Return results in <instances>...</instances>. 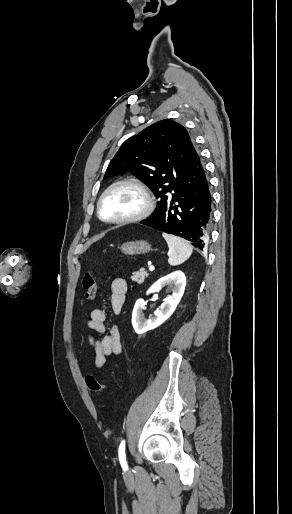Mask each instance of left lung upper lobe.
Instances as JSON below:
<instances>
[{
	"label": "left lung upper lobe",
	"instance_id": "5c2ea615",
	"mask_svg": "<svg viewBox=\"0 0 292 514\" xmlns=\"http://www.w3.org/2000/svg\"><path fill=\"white\" fill-rule=\"evenodd\" d=\"M192 149L191 138L182 125L161 120L122 144L104 179L127 172L137 176L158 199L155 213L159 201L172 192L184 175Z\"/></svg>",
	"mask_w": 292,
	"mask_h": 514
}]
</instances>
